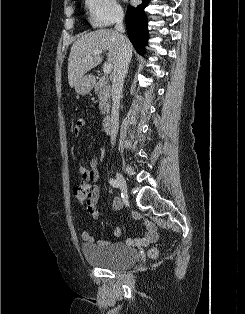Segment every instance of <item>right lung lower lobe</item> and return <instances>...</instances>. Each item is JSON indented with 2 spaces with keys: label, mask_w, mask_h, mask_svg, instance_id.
Returning <instances> with one entry per match:
<instances>
[{
  "label": "right lung lower lobe",
  "mask_w": 245,
  "mask_h": 314,
  "mask_svg": "<svg viewBox=\"0 0 245 314\" xmlns=\"http://www.w3.org/2000/svg\"><path fill=\"white\" fill-rule=\"evenodd\" d=\"M142 1V4L137 7L128 6L125 18L128 37L135 49L141 54L144 53V46L147 44L149 37L144 9L149 4L150 0Z\"/></svg>",
  "instance_id": "obj_1"
}]
</instances>
